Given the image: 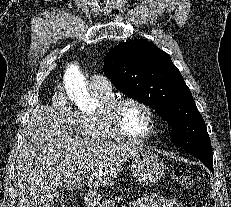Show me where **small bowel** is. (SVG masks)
I'll return each mask as SVG.
<instances>
[{
	"instance_id": "obj_1",
	"label": "small bowel",
	"mask_w": 231,
	"mask_h": 207,
	"mask_svg": "<svg viewBox=\"0 0 231 207\" xmlns=\"http://www.w3.org/2000/svg\"><path fill=\"white\" fill-rule=\"evenodd\" d=\"M127 207H182L177 199L164 198L161 196L141 197Z\"/></svg>"
}]
</instances>
